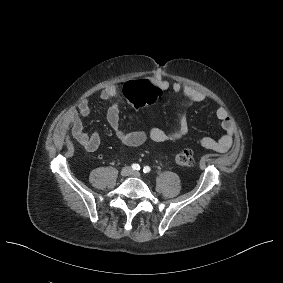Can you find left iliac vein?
I'll return each mask as SVG.
<instances>
[{
    "label": "left iliac vein",
    "instance_id": "4c4485c4",
    "mask_svg": "<svg viewBox=\"0 0 283 283\" xmlns=\"http://www.w3.org/2000/svg\"><path fill=\"white\" fill-rule=\"evenodd\" d=\"M131 175H132L133 177H136V178H141V174H140L139 172H136V171H132V172H131Z\"/></svg>",
    "mask_w": 283,
    "mask_h": 283
}]
</instances>
